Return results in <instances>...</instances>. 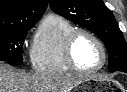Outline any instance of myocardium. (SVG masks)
Returning a JSON list of instances; mask_svg holds the SVG:
<instances>
[{
    "label": "myocardium",
    "mask_w": 127,
    "mask_h": 92,
    "mask_svg": "<svg viewBox=\"0 0 127 92\" xmlns=\"http://www.w3.org/2000/svg\"><path fill=\"white\" fill-rule=\"evenodd\" d=\"M80 35H87L91 39H93L101 51L102 61H101L100 65L94 69H90V70L81 69L77 66V64L75 62L73 48H74L76 39ZM63 51H64V59H65L67 66L70 68L71 71L78 73V74L97 73L104 68V66L106 65V62H107V51H106V48H105L103 42L95 33H93L92 31H90L88 29H84V28L73 29L67 35V37L65 39Z\"/></svg>",
    "instance_id": "myocardium-1"
}]
</instances>
